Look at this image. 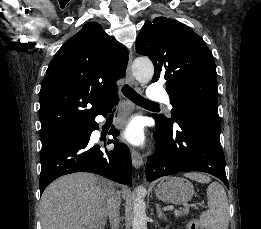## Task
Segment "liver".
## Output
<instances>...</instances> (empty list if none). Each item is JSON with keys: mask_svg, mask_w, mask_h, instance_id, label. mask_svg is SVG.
<instances>
[{"mask_svg": "<svg viewBox=\"0 0 261 229\" xmlns=\"http://www.w3.org/2000/svg\"><path fill=\"white\" fill-rule=\"evenodd\" d=\"M113 193L114 183L93 173L64 175L41 197V229H104Z\"/></svg>", "mask_w": 261, "mask_h": 229, "instance_id": "liver-1", "label": "liver"}]
</instances>
